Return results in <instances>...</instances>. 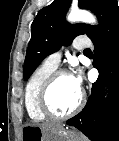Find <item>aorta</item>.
<instances>
[{
    "label": "aorta",
    "mask_w": 119,
    "mask_h": 141,
    "mask_svg": "<svg viewBox=\"0 0 119 141\" xmlns=\"http://www.w3.org/2000/svg\"><path fill=\"white\" fill-rule=\"evenodd\" d=\"M69 22H84L89 24H96V18L88 11L85 10H72L67 17Z\"/></svg>",
    "instance_id": "obj_1"
}]
</instances>
